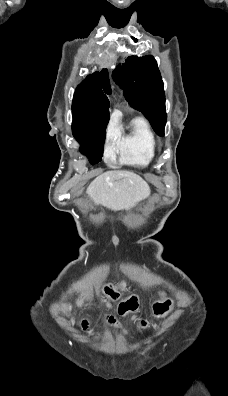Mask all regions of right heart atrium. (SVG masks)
<instances>
[{
	"mask_svg": "<svg viewBox=\"0 0 228 396\" xmlns=\"http://www.w3.org/2000/svg\"><path fill=\"white\" fill-rule=\"evenodd\" d=\"M120 137L119 127L115 120L111 119L106 128L105 137V157L111 159L117 150V144Z\"/></svg>",
	"mask_w": 228,
	"mask_h": 396,
	"instance_id": "obj_1",
	"label": "right heart atrium"
}]
</instances>
